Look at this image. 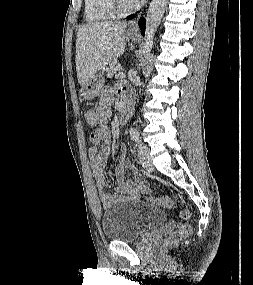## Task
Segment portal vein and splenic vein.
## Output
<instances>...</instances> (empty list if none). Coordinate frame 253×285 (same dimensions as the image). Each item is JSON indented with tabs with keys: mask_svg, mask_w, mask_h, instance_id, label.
I'll list each match as a JSON object with an SVG mask.
<instances>
[{
	"mask_svg": "<svg viewBox=\"0 0 253 285\" xmlns=\"http://www.w3.org/2000/svg\"><path fill=\"white\" fill-rule=\"evenodd\" d=\"M125 74L123 72H118L116 75H115V78L116 79H123L125 78Z\"/></svg>",
	"mask_w": 253,
	"mask_h": 285,
	"instance_id": "1",
	"label": "portal vein and splenic vein"
}]
</instances>
